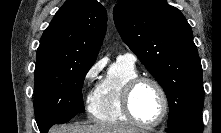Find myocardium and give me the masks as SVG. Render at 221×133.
<instances>
[{
    "label": "myocardium",
    "mask_w": 221,
    "mask_h": 133,
    "mask_svg": "<svg viewBox=\"0 0 221 133\" xmlns=\"http://www.w3.org/2000/svg\"><path fill=\"white\" fill-rule=\"evenodd\" d=\"M142 83L152 84L159 92L161 101H162V111H161L160 116L158 117L157 120L153 122H149V123L139 120L135 116L133 109H132L133 94L136 88ZM168 108H169V102H168L167 93L164 87L162 86V84L158 80L152 77H148V76H136L130 79L125 84L123 91H122V109H123L125 116L129 119V121L134 123L135 125L143 127V128H152V127L158 126L165 119L168 113Z\"/></svg>",
    "instance_id": "myocardium-1"
}]
</instances>
